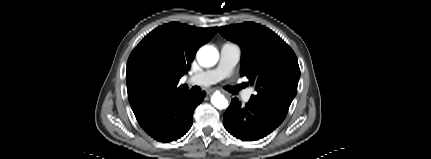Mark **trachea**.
<instances>
[{
	"mask_svg": "<svg viewBox=\"0 0 431 159\" xmlns=\"http://www.w3.org/2000/svg\"><path fill=\"white\" fill-rule=\"evenodd\" d=\"M240 88H241V86L233 87V88H232V90H231V92H233V93H237V91H238ZM193 91H194V92H199L200 90H197V88H196V87H194V88H193Z\"/></svg>",
	"mask_w": 431,
	"mask_h": 159,
	"instance_id": "trachea-1",
	"label": "trachea"
}]
</instances>
